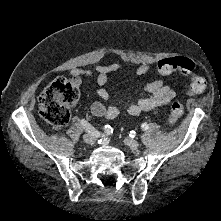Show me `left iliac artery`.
<instances>
[{"instance_id":"left-iliac-artery-1","label":"left iliac artery","mask_w":221,"mask_h":221,"mask_svg":"<svg viewBox=\"0 0 221 221\" xmlns=\"http://www.w3.org/2000/svg\"><path fill=\"white\" fill-rule=\"evenodd\" d=\"M141 128H142L143 130H147V129H148V125H147L146 123H143V124L141 125Z\"/></svg>"}]
</instances>
